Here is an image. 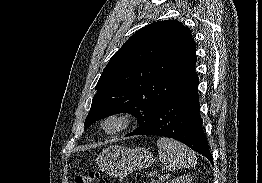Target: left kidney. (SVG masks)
Instances as JSON below:
<instances>
[{"instance_id": "1", "label": "left kidney", "mask_w": 262, "mask_h": 183, "mask_svg": "<svg viewBox=\"0 0 262 183\" xmlns=\"http://www.w3.org/2000/svg\"><path fill=\"white\" fill-rule=\"evenodd\" d=\"M191 181H192V176L187 174L174 178L167 183H191Z\"/></svg>"}]
</instances>
